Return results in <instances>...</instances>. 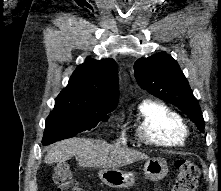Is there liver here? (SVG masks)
<instances>
[{"label":"liver","instance_id":"liver-1","mask_svg":"<svg viewBox=\"0 0 221 191\" xmlns=\"http://www.w3.org/2000/svg\"><path fill=\"white\" fill-rule=\"evenodd\" d=\"M73 156L83 167L118 168L136 161L148 159V156L136 150L113 146L105 141L85 138H71L51 145L45 162H65Z\"/></svg>","mask_w":221,"mask_h":191}]
</instances>
